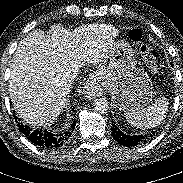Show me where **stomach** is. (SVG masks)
Masks as SVG:
<instances>
[{"instance_id": "1", "label": "stomach", "mask_w": 183, "mask_h": 183, "mask_svg": "<svg viewBox=\"0 0 183 183\" xmlns=\"http://www.w3.org/2000/svg\"><path fill=\"white\" fill-rule=\"evenodd\" d=\"M137 62L131 45L117 40L108 48L97 68V85L111 93L113 106L117 110H139L152 101L151 79L137 67Z\"/></svg>"}]
</instances>
